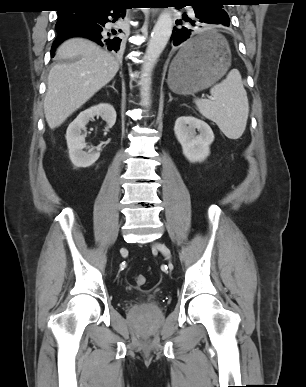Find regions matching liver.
I'll return each instance as SVG.
<instances>
[{"label":"liver","mask_w":306,"mask_h":387,"mask_svg":"<svg viewBox=\"0 0 306 387\" xmlns=\"http://www.w3.org/2000/svg\"><path fill=\"white\" fill-rule=\"evenodd\" d=\"M56 55L65 62L52 67L48 75L44 113L51 129L59 127L119 70L109 52L80 37L64 41Z\"/></svg>","instance_id":"1"}]
</instances>
